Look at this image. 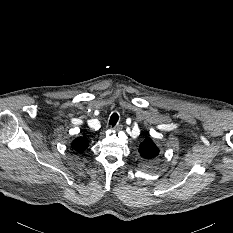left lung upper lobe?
<instances>
[{
    "mask_svg": "<svg viewBox=\"0 0 233 233\" xmlns=\"http://www.w3.org/2000/svg\"><path fill=\"white\" fill-rule=\"evenodd\" d=\"M139 153L141 157L147 159L150 164H153L155 162L154 159L159 154V149L151 140V138L146 137L139 147Z\"/></svg>",
    "mask_w": 233,
    "mask_h": 233,
    "instance_id": "obj_1",
    "label": "left lung upper lobe"
}]
</instances>
